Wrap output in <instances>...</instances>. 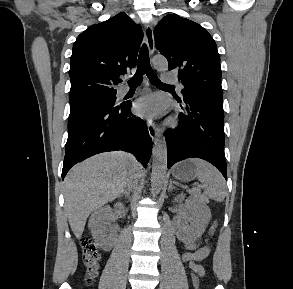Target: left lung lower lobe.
Masks as SVG:
<instances>
[{"mask_svg":"<svg viewBox=\"0 0 293 289\" xmlns=\"http://www.w3.org/2000/svg\"><path fill=\"white\" fill-rule=\"evenodd\" d=\"M181 103L178 127L168 130V168L187 158H201L213 164L227 180L224 154L223 99L206 94H187Z\"/></svg>","mask_w":293,"mask_h":289,"instance_id":"0a47b994","label":"left lung lower lobe"}]
</instances>
